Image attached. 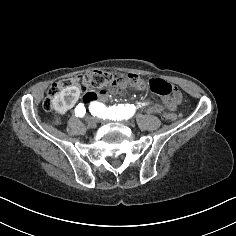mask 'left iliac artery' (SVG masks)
Returning a JSON list of instances; mask_svg holds the SVG:
<instances>
[{"label": "left iliac artery", "instance_id": "1", "mask_svg": "<svg viewBox=\"0 0 236 236\" xmlns=\"http://www.w3.org/2000/svg\"><path fill=\"white\" fill-rule=\"evenodd\" d=\"M139 107H141L140 103ZM135 109L134 104H118V106L114 105L107 108L103 103L97 101L91 102L89 106V110L93 116L103 118V120L109 119L114 121L131 118L135 113Z\"/></svg>", "mask_w": 236, "mask_h": 236}]
</instances>
